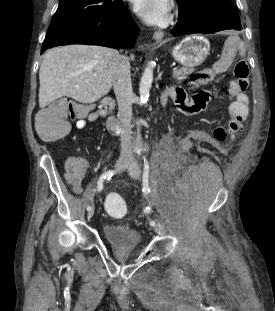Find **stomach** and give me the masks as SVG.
Returning <instances> with one entry per match:
<instances>
[{
    "instance_id": "1",
    "label": "stomach",
    "mask_w": 275,
    "mask_h": 311,
    "mask_svg": "<svg viewBox=\"0 0 275 311\" xmlns=\"http://www.w3.org/2000/svg\"><path fill=\"white\" fill-rule=\"evenodd\" d=\"M209 50L210 44L204 37L191 35L174 47L172 56L184 67H195L205 61Z\"/></svg>"
}]
</instances>
